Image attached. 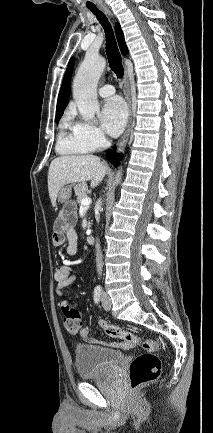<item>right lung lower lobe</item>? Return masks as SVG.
I'll list each match as a JSON object with an SVG mask.
<instances>
[{"instance_id": "right-lung-lower-lobe-1", "label": "right lung lower lobe", "mask_w": 213, "mask_h": 433, "mask_svg": "<svg viewBox=\"0 0 213 433\" xmlns=\"http://www.w3.org/2000/svg\"><path fill=\"white\" fill-rule=\"evenodd\" d=\"M119 160L122 159V154H118V156L115 155V152L113 150H110L108 153V160L111 161L114 166H117L119 164Z\"/></svg>"}]
</instances>
